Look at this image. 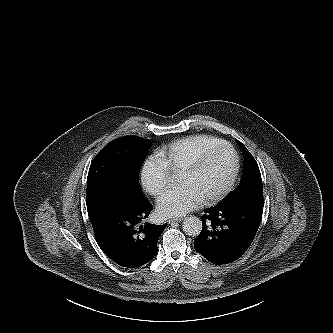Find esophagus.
<instances>
[{"label":"esophagus","mask_w":333,"mask_h":333,"mask_svg":"<svg viewBox=\"0 0 333 333\" xmlns=\"http://www.w3.org/2000/svg\"><path fill=\"white\" fill-rule=\"evenodd\" d=\"M181 221H182L181 218H170V219L168 220L169 224H172V223H174V222H181Z\"/></svg>","instance_id":"obj_1"}]
</instances>
